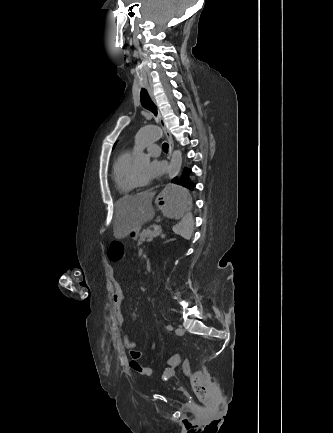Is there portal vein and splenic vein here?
<instances>
[{
    "label": "portal vein and splenic vein",
    "mask_w": 333,
    "mask_h": 433,
    "mask_svg": "<svg viewBox=\"0 0 333 433\" xmlns=\"http://www.w3.org/2000/svg\"><path fill=\"white\" fill-rule=\"evenodd\" d=\"M160 235L161 238H164V235L162 234V231H157L155 234H151L148 238H147V242H151L153 241L154 237Z\"/></svg>",
    "instance_id": "18ae733b"
}]
</instances>
